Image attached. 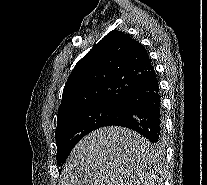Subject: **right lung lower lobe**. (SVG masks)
<instances>
[{"mask_svg": "<svg viewBox=\"0 0 207 185\" xmlns=\"http://www.w3.org/2000/svg\"><path fill=\"white\" fill-rule=\"evenodd\" d=\"M106 126H122L146 137L156 148L163 144L164 119L157 78L134 93Z\"/></svg>", "mask_w": 207, "mask_h": 185, "instance_id": "1", "label": "right lung lower lobe"}]
</instances>
